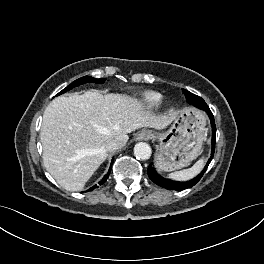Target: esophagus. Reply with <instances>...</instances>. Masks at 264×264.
I'll list each match as a JSON object with an SVG mask.
<instances>
[{
  "label": "esophagus",
  "instance_id": "1",
  "mask_svg": "<svg viewBox=\"0 0 264 264\" xmlns=\"http://www.w3.org/2000/svg\"><path fill=\"white\" fill-rule=\"evenodd\" d=\"M152 136L151 132L149 131H141L140 133H138L135 137V139L137 141H141V140H148L150 139Z\"/></svg>",
  "mask_w": 264,
  "mask_h": 264
}]
</instances>
